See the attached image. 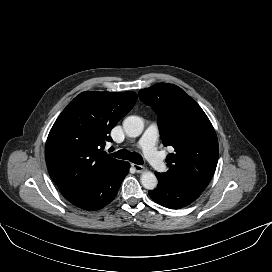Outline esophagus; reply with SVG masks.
<instances>
[{
	"label": "esophagus",
	"instance_id": "esophagus-1",
	"mask_svg": "<svg viewBox=\"0 0 272 272\" xmlns=\"http://www.w3.org/2000/svg\"><path fill=\"white\" fill-rule=\"evenodd\" d=\"M132 167L135 169L136 172L141 173L144 170V167L142 165L138 164H132Z\"/></svg>",
	"mask_w": 272,
	"mask_h": 272
}]
</instances>
